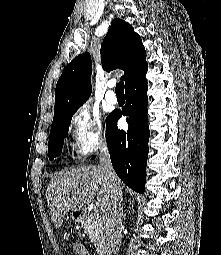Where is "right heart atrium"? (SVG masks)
Masks as SVG:
<instances>
[{"mask_svg":"<svg viewBox=\"0 0 221 255\" xmlns=\"http://www.w3.org/2000/svg\"><path fill=\"white\" fill-rule=\"evenodd\" d=\"M70 128L74 147L81 156L91 154L105 141L100 116L87 105H81L75 110Z\"/></svg>","mask_w":221,"mask_h":255,"instance_id":"right-heart-atrium-1","label":"right heart atrium"}]
</instances>
